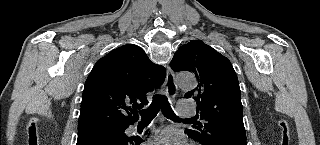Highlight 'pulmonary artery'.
Listing matches in <instances>:
<instances>
[{"label":"pulmonary artery","mask_w":320,"mask_h":145,"mask_svg":"<svg viewBox=\"0 0 320 145\" xmlns=\"http://www.w3.org/2000/svg\"><path fill=\"white\" fill-rule=\"evenodd\" d=\"M177 114L179 116H192L194 114L193 106H191L190 102L179 101L177 104Z\"/></svg>","instance_id":"e3ab8cb5"}]
</instances>
